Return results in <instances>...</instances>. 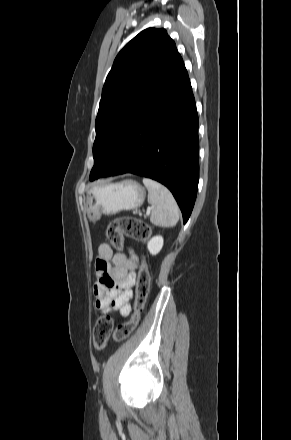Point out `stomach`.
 I'll return each instance as SVG.
<instances>
[{
	"label": "stomach",
	"mask_w": 291,
	"mask_h": 440,
	"mask_svg": "<svg viewBox=\"0 0 291 440\" xmlns=\"http://www.w3.org/2000/svg\"><path fill=\"white\" fill-rule=\"evenodd\" d=\"M145 196V189L134 180L95 185L87 191L86 213L91 221H95L102 214L113 215L138 208L143 204Z\"/></svg>",
	"instance_id": "obj_1"
}]
</instances>
